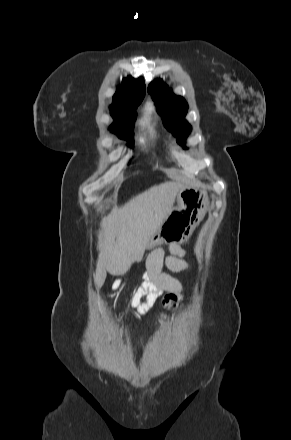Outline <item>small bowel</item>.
<instances>
[{
	"label": "small bowel",
	"mask_w": 291,
	"mask_h": 440,
	"mask_svg": "<svg viewBox=\"0 0 291 440\" xmlns=\"http://www.w3.org/2000/svg\"><path fill=\"white\" fill-rule=\"evenodd\" d=\"M171 255L164 256L162 249H155L147 258V280L143 282L137 292L128 299L131 308H135L139 314L147 312L158 300L162 301L163 308L169 309L171 302L183 291L180 282L168 273H162L163 263L172 271H181L189 267L186 260L187 251L178 244L170 247ZM122 286L120 280H116L112 289L117 291ZM169 293L163 297V294ZM160 317L163 313L159 314Z\"/></svg>",
	"instance_id": "1"
}]
</instances>
